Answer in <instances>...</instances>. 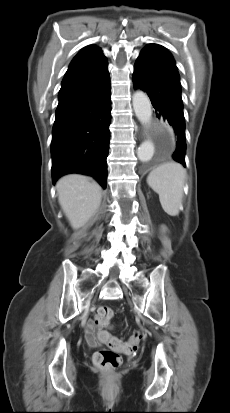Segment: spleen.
<instances>
[{
  "instance_id": "spleen-1",
  "label": "spleen",
  "mask_w": 230,
  "mask_h": 413,
  "mask_svg": "<svg viewBox=\"0 0 230 413\" xmlns=\"http://www.w3.org/2000/svg\"><path fill=\"white\" fill-rule=\"evenodd\" d=\"M186 172L181 164L167 162L150 172L148 185L159 195L163 210L170 216H177L183 198Z\"/></svg>"
}]
</instances>
